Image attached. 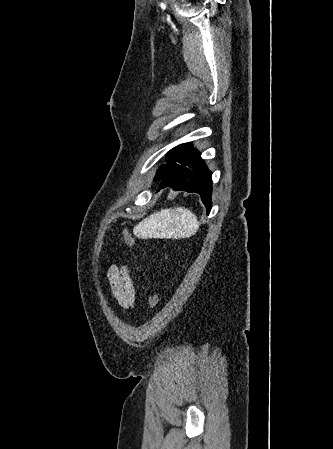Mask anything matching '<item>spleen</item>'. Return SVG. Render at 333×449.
Instances as JSON below:
<instances>
[{"mask_svg":"<svg viewBox=\"0 0 333 449\" xmlns=\"http://www.w3.org/2000/svg\"><path fill=\"white\" fill-rule=\"evenodd\" d=\"M197 216L190 210L177 207L166 208L151 214L139 222L134 233L140 238H187L198 230Z\"/></svg>","mask_w":333,"mask_h":449,"instance_id":"spleen-1","label":"spleen"}]
</instances>
